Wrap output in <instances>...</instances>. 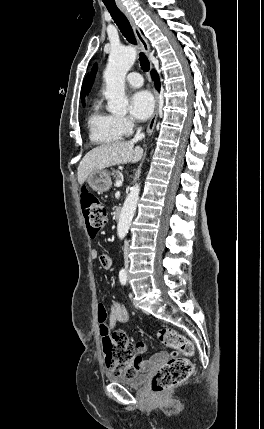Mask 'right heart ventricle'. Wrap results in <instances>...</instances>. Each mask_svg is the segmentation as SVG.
<instances>
[{"label": "right heart ventricle", "mask_w": 264, "mask_h": 429, "mask_svg": "<svg viewBox=\"0 0 264 429\" xmlns=\"http://www.w3.org/2000/svg\"><path fill=\"white\" fill-rule=\"evenodd\" d=\"M90 140L99 145H109L120 141L123 137L117 117L105 111L100 102H95L88 117Z\"/></svg>", "instance_id": "e07e8e85"}]
</instances>
